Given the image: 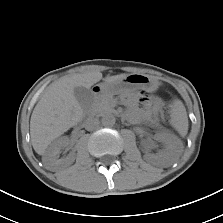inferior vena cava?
Returning a JSON list of instances; mask_svg holds the SVG:
<instances>
[{
  "label": "inferior vena cava",
  "mask_w": 223,
  "mask_h": 223,
  "mask_svg": "<svg viewBox=\"0 0 223 223\" xmlns=\"http://www.w3.org/2000/svg\"><path fill=\"white\" fill-rule=\"evenodd\" d=\"M100 121L98 118L91 117L85 121V128L89 131L98 128Z\"/></svg>",
  "instance_id": "obj_1"
}]
</instances>
